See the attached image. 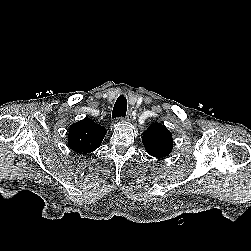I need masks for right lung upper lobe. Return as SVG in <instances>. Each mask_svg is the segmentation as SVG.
<instances>
[{
  "label": "right lung upper lobe",
  "instance_id": "1",
  "mask_svg": "<svg viewBox=\"0 0 251 251\" xmlns=\"http://www.w3.org/2000/svg\"><path fill=\"white\" fill-rule=\"evenodd\" d=\"M68 132L70 149L79 154H88L100 146L106 134V129L91 119L85 118L72 124Z\"/></svg>",
  "mask_w": 251,
  "mask_h": 251
}]
</instances>
